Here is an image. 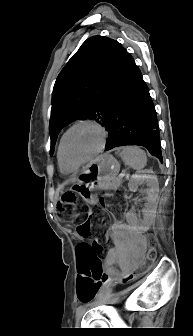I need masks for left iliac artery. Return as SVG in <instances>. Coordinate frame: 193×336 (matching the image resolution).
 <instances>
[{
  "instance_id": "obj_1",
  "label": "left iliac artery",
  "mask_w": 193,
  "mask_h": 336,
  "mask_svg": "<svg viewBox=\"0 0 193 336\" xmlns=\"http://www.w3.org/2000/svg\"><path fill=\"white\" fill-rule=\"evenodd\" d=\"M90 304H86V305H84V306H80V307H78L77 308V311H76V316L78 317L80 314H82L83 312H84V310H85V308L87 307V306H89Z\"/></svg>"
}]
</instances>
